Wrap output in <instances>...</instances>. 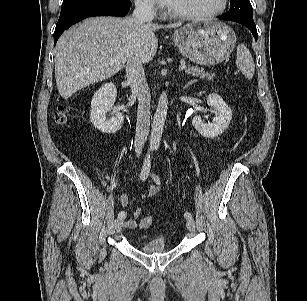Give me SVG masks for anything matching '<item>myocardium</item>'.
<instances>
[{
	"mask_svg": "<svg viewBox=\"0 0 307 301\" xmlns=\"http://www.w3.org/2000/svg\"><path fill=\"white\" fill-rule=\"evenodd\" d=\"M228 4H229V0H222L221 5L217 9L210 11V12L188 14V13H179V12L169 10V15L174 18L186 20V21L207 20V19H212V18H215L223 14L227 9Z\"/></svg>",
	"mask_w": 307,
	"mask_h": 301,
	"instance_id": "obj_1",
	"label": "myocardium"
}]
</instances>
